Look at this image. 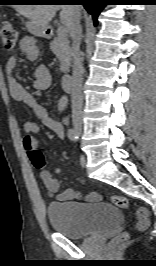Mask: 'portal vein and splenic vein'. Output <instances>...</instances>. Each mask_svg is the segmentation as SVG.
Listing matches in <instances>:
<instances>
[{
	"label": "portal vein and splenic vein",
	"instance_id": "18ae733b",
	"mask_svg": "<svg viewBox=\"0 0 156 266\" xmlns=\"http://www.w3.org/2000/svg\"><path fill=\"white\" fill-rule=\"evenodd\" d=\"M58 36L60 37H66L67 36V29L64 26L58 27Z\"/></svg>",
	"mask_w": 156,
	"mask_h": 266
}]
</instances>
